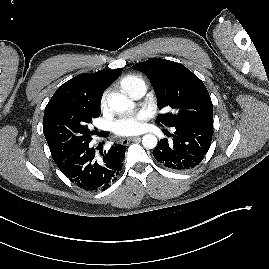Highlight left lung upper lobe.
Listing matches in <instances>:
<instances>
[{
	"mask_svg": "<svg viewBox=\"0 0 269 269\" xmlns=\"http://www.w3.org/2000/svg\"><path fill=\"white\" fill-rule=\"evenodd\" d=\"M132 68L147 75L160 109L157 124L175 127L185 123H213V105L204 83L184 65L161 58H151Z\"/></svg>",
	"mask_w": 269,
	"mask_h": 269,
	"instance_id": "left-lung-upper-lobe-1",
	"label": "left lung upper lobe"
}]
</instances>
